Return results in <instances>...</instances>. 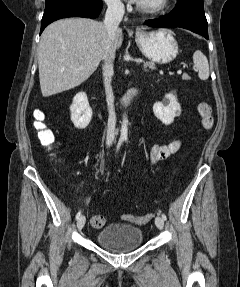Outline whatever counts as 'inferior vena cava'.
I'll return each mask as SVG.
<instances>
[{"mask_svg": "<svg viewBox=\"0 0 240 287\" xmlns=\"http://www.w3.org/2000/svg\"><path fill=\"white\" fill-rule=\"evenodd\" d=\"M107 4V11L105 15L104 25L107 31L109 44L105 55L103 70V81L106 93V102L108 105V126L106 135V144L112 145L115 138L116 131V114L114 109V95L111 86L112 76L114 74L113 58L115 50L113 48V41L116 38L117 29L124 15V5L121 0H105Z\"/></svg>", "mask_w": 240, "mask_h": 287, "instance_id": "obj_1", "label": "inferior vena cava"}]
</instances>
